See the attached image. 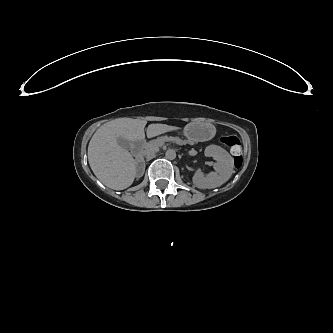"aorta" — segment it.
<instances>
[{
  "label": "aorta",
  "instance_id": "obj_1",
  "mask_svg": "<svg viewBox=\"0 0 333 333\" xmlns=\"http://www.w3.org/2000/svg\"><path fill=\"white\" fill-rule=\"evenodd\" d=\"M165 158L168 160H174L176 158V152L173 149H169L165 153Z\"/></svg>",
  "mask_w": 333,
  "mask_h": 333
}]
</instances>
